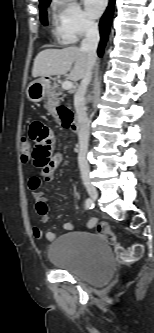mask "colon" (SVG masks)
Masks as SVG:
<instances>
[{"instance_id": "obj_1", "label": "colon", "mask_w": 154, "mask_h": 333, "mask_svg": "<svg viewBox=\"0 0 154 333\" xmlns=\"http://www.w3.org/2000/svg\"><path fill=\"white\" fill-rule=\"evenodd\" d=\"M59 114L63 123H69L71 119V111L62 106L59 108ZM22 160L29 161L32 158L31 140L29 138L22 139ZM97 232L111 246L114 247L116 258L119 262L128 263L138 260L143 253L140 244H133L129 248L122 247L117 241L114 233L106 223L97 226Z\"/></svg>"}]
</instances>
